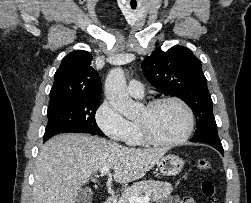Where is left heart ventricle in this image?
Wrapping results in <instances>:
<instances>
[{
  "label": "left heart ventricle",
  "instance_id": "obj_1",
  "mask_svg": "<svg viewBox=\"0 0 251 203\" xmlns=\"http://www.w3.org/2000/svg\"><path fill=\"white\" fill-rule=\"evenodd\" d=\"M138 121L145 122L153 135L163 140L179 138L188 125L185 110L173 102L162 104L152 112L144 108Z\"/></svg>",
  "mask_w": 251,
  "mask_h": 203
}]
</instances>
